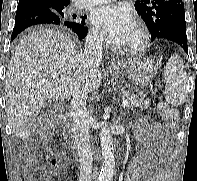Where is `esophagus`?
<instances>
[{"instance_id": "esophagus-1", "label": "esophagus", "mask_w": 197, "mask_h": 181, "mask_svg": "<svg viewBox=\"0 0 197 181\" xmlns=\"http://www.w3.org/2000/svg\"><path fill=\"white\" fill-rule=\"evenodd\" d=\"M109 67H110V68H115V67H116V65H115V63H114V62H110V63H109Z\"/></svg>"}]
</instances>
